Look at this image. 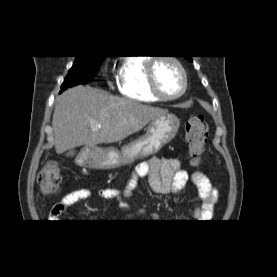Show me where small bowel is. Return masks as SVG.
<instances>
[{"label":"small bowel","mask_w":277,"mask_h":277,"mask_svg":"<svg viewBox=\"0 0 277 277\" xmlns=\"http://www.w3.org/2000/svg\"><path fill=\"white\" fill-rule=\"evenodd\" d=\"M148 178L151 188L158 194L176 195L185 187L189 173L182 168V163L177 158H152L148 162L139 164L131 178L128 180L125 190L103 188L96 193L89 189H75L64 195L51 208L47 220L48 222H58V220L70 209L71 206L80 201L94 198L102 200H115L122 209H129L128 199L132 190L136 187L138 178ZM191 179L197 187L201 204L195 211L196 220H207L213 215L214 207L218 200V190L209 179L201 172H195ZM142 210L127 214V217L137 216Z\"/></svg>","instance_id":"small-bowel-1"}]
</instances>
